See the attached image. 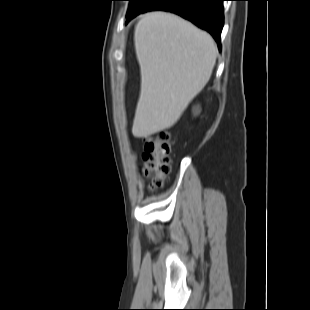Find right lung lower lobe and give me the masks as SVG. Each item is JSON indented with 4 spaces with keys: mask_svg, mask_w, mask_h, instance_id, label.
<instances>
[{
    "mask_svg": "<svg viewBox=\"0 0 310 310\" xmlns=\"http://www.w3.org/2000/svg\"><path fill=\"white\" fill-rule=\"evenodd\" d=\"M224 0H158L140 13L164 10L178 14L196 26L209 32L221 48V32L224 25ZM127 16L126 23L138 14Z\"/></svg>",
    "mask_w": 310,
    "mask_h": 310,
    "instance_id": "obj_1",
    "label": "right lung lower lobe"
}]
</instances>
